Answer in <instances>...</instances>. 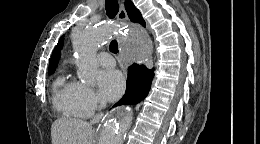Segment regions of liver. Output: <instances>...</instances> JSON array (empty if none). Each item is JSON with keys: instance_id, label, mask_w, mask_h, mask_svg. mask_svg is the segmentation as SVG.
<instances>
[{"instance_id": "obj_1", "label": "liver", "mask_w": 260, "mask_h": 144, "mask_svg": "<svg viewBox=\"0 0 260 144\" xmlns=\"http://www.w3.org/2000/svg\"><path fill=\"white\" fill-rule=\"evenodd\" d=\"M92 125L84 120L62 117L52 123V144H90Z\"/></svg>"}]
</instances>
